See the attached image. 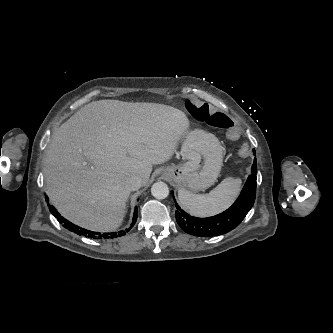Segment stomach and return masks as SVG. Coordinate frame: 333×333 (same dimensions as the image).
<instances>
[{
	"instance_id": "1",
	"label": "stomach",
	"mask_w": 333,
	"mask_h": 333,
	"mask_svg": "<svg viewBox=\"0 0 333 333\" xmlns=\"http://www.w3.org/2000/svg\"><path fill=\"white\" fill-rule=\"evenodd\" d=\"M181 154L185 163L162 170V175L191 192L204 191L217 180L223 161V147L218 138L196 129L183 137Z\"/></svg>"
}]
</instances>
